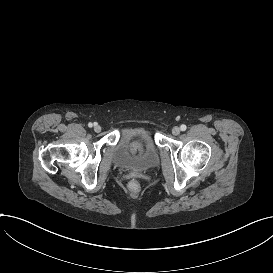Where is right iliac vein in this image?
<instances>
[{
	"label": "right iliac vein",
	"instance_id": "right-iliac-vein-1",
	"mask_svg": "<svg viewBox=\"0 0 273 273\" xmlns=\"http://www.w3.org/2000/svg\"><path fill=\"white\" fill-rule=\"evenodd\" d=\"M94 131H95L96 133H99V132L101 131V127H100L99 125H95V126H94Z\"/></svg>",
	"mask_w": 273,
	"mask_h": 273
}]
</instances>
